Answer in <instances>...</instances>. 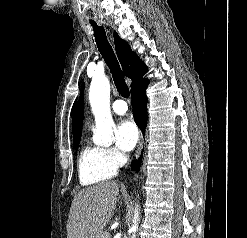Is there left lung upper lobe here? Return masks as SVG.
<instances>
[{"label": "left lung upper lobe", "instance_id": "obj_1", "mask_svg": "<svg viewBox=\"0 0 247 238\" xmlns=\"http://www.w3.org/2000/svg\"><path fill=\"white\" fill-rule=\"evenodd\" d=\"M74 106H75V103H74ZM74 106H73V109H74ZM73 109H72V112H73Z\"/></svg>", "mask_w": 247, "mask_h": 238}]
</instances>
